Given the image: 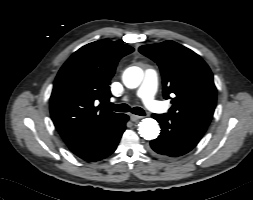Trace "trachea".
<instances>
[{"label":"trachea","instance_id":"1","mask_svg":"<svg viewBox=\"0 0 253 200\" xmlns=\"http://www.w3.org/2000/svg\"><path fill=\"white\" fill-rule=\"evenodd\" d=\"M104 106L110 110L116 111V112H132L133 114L144 116L145 112L140 107H133L130 108L127 104H112V103H106Z\"/></svg>","mask_w":253,"mask_h":200}]
</instances>
